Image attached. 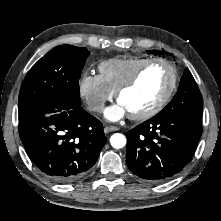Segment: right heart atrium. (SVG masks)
<instances>
[{"label": "right heart atrium", "instance_id": "right-heart-atrium-1", "mask_svg": "<svg viewBox=\"0 0 221 221\" xmlns=\"http://www.w3.org/2000/svg\"><path fill=\"white\" fill-rule=\"evenodd\" d=\"M79 93L89 110L100 113L114 93L104 84L99 75L83 74L79 80Z\"/></svg>", "mask_w": 221, "mask_h": 221}]
</instances>
